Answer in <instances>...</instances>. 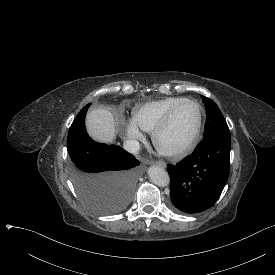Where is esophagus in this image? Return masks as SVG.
I'll return each mask as SVG.
<instances>
[{"mask_svg": "<svg viewBox=\"0 0 275 275\" xmlns=\"http://www.w3.org/2000/svg\"><path fill=\"white\" fill-rule=\"evenodd\" d=\"M146 164H150V162H145ZM156 165L162 167V168H165L166 167V163L162 160H158L155 162Z\"/></svg>", "mask_w": 275, "mask_h": 275, "instance_id": "esophagus-1", "label": "esophagus"}]
</instances>
